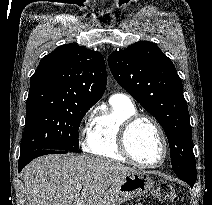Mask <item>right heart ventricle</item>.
Listing matches in <instances>:
<instances>
[{"mask_svg":"<svg viewBox=\"0 0 212 205\" xmlns=\"http://www.w3.org/2000/svg\"><path fill=\"white\" fill-rule=\"evenodd\" d=\"M137 113L131 100L111 97L110 108L102 111L93 121L85 141V151L101 158L127 162L118 148V132L122 123Z\"/></svg>","mask_w":212,"mask_h":205,"instance_id":"e07e8e85","label":"right heart ventricle"}]
</instances>
